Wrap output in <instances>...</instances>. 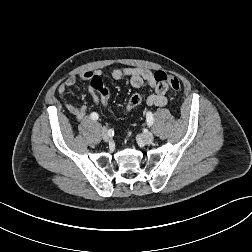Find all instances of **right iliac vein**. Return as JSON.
<instances>
[{
    "label": "right iliac vein",
    "mask_w": 252,
    "mask_h": 252,
    "mask_svg": "<svg viewBox=\"0 0 252 252\" xmlns=\"http://www.w3.org/2000/svg\"><path fill=\"white\" fill-rule=\"evenodd\" d=\"M102 137H103L104 141H109L110 140V135H109V133L107 132L106 129H103Z\"/></svg>",
    "instance_id": "obj_1"
}]
</instances>
